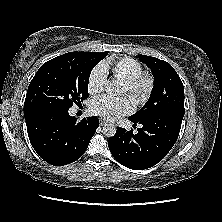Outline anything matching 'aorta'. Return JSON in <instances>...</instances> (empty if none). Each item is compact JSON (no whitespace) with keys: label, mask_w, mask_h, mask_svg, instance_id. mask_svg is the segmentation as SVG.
Returning a JSON list of instances; mask_svg holds the SVG:
<instances>
[{"label":"aorta","mask_w":222,"mask_h":222,"mask_svg":"<svg viewBox=\"0 0 222 222\" xmlns=\"http://www.w3.org/2000/svg\"><path fill=\"white\" fill-rule=\"evenodd\" d=\"M105 90L108 92H117L119 89L115 82H107ZM102 132L106 137H113L116 134V127L114 124L107 123L103 126Z\"/></svg>","instance_id":"1"}]
</instances>
